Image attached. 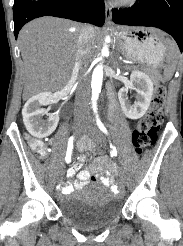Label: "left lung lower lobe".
Segmentation results:
<instances>
[{"instance_id": "1", "label": "left lung lower lobe", "mask_w": 183, "mask_h": 246, "mask_svg": "<svg viewBox=\"0 0 183 246\" xmlns=\"http://www.w3.org/2000/svg\"><path fill=\"white\" fill-rule=\"evenodd\" d=\"M116 24L156 27L169 33L183 51V0H137L127 9H113Z\"/></svg>"}]
</instances>
